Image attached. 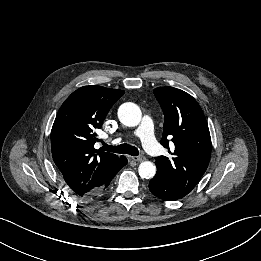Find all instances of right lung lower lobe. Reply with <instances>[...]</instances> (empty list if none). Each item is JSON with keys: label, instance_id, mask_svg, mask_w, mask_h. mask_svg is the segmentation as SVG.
<instances>
[{"label": "right lung lower lobe", "instance_id": "98d812e1", "mask_svg": "<svg viewBox=\"0 0 261 261\" xmlns=\"http://www.w3.org/2000/svg\"><path fill=\"white\" fill-rule=\"evenodd\" d=\"M127 164V159L126 157H122V159L117 163L116 167L113 169V171L111 172L109 178L107 179V181L99 188L97 189L95 192H93L90 197H94L100 193H102L103 191H105V189L108 187V185L110 184L111 180L114 178V176L118 173V171Z\"/></svg>", "mask_w": 261, "mask_h": 261}]
</instances>
